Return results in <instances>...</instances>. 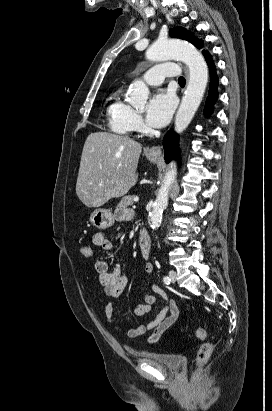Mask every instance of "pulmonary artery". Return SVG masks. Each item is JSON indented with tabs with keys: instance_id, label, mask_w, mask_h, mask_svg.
<instances>
[{
	"instance_id": "obj_1",
	"label": "pulmonary artery",
	"mask_w": 272,
	"mask_h": 411,
	"mask_svg": "<svg viewBox=\"0 0 272 411\" xmlns=\"http://www.w3.org/2000/svg\"><path fill=\"white\" fill-rule=\"evenodd\" d=\"M179 75L178 67L173 63H160L148 69L143 79L150 86H158L163 83L167 77H175Z\"/></svg>"
}]
</instances>
